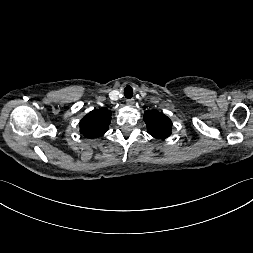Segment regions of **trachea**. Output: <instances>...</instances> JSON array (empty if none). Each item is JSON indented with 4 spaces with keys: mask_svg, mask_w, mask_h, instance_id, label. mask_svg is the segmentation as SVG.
Listing matches in <instances>:
<instances>
[{
    "mask_svg": "<svg viewBox=\"0 0 253 253\" xmlns=\"http://www.w3.org/2000/svg\"><path fill=\"white\" fill-rule=\"evenodd\" d=\"M124 96L127 98V99H131L132 96H133V89L131 88V86H126L125 89H124Z\"/></svg>",
    "mask_w": 253,
    "mask_h": 253,
    "instance_id": "3493384b",
    "label": "trachea"
}]
</instances>
